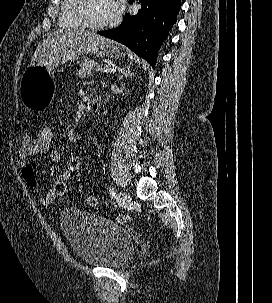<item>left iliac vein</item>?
Returning a JSON list of instances; mask_svg holds the SVG:
<instances>
[{
	"label": "left iliac vein",
	"mask_w": 272,
	"mask_h": 303,
	"mask_svg": "<svg viewBox=\"0 0 272 303\" xmlns=\"http://www.w3.org/2000/svg\"><path fill=\"white\" fill-rule=\"evenodd\" d=\"M119 198L123 205H129L131 202V196L127 192L124 191L120 192Z\"/></svg>",
	"instance_id": "4c4485c4"
}]
</instances>
